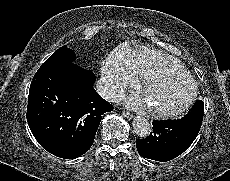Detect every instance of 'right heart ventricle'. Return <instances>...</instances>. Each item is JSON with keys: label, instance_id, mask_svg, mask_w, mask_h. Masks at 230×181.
<instances>
[{"label": "right heart ventricle", "instance_id": "1", "mask_svg": "<svg viewBox=\"0 0 230 181\" xmlns=\"http://www.w3.org/2000/svg\"><path fill=\"white\" fill-rule=\"evenodd\" d=\"M119 68L131 71L135 77L145 78L161 70H184L183 66L167 54L146 45L121 44L108 56Z\"/></svg>", "mask_w": 230, "mask_h": 181}]
</instances>
